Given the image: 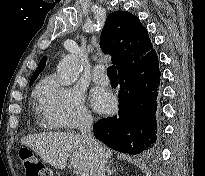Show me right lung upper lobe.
Returning a JSON list of instances; mask_svg holds the SVG:
<instances>
[{"instance_id":"right-lung-upper-lobe-1","label":"right lung upper lobe","mask_w":205,"mask_h":176,"mask_svg":"<svg viewBox=\"0 0 205 176\" xmlns=\"http://www.w3.org/2000/svg\"><path fill=\"white\" fill-rule=\"evenodd\" d=\"M100 44L107 54L113 56L112 63L116 64L119 72L154 51L147 30L136 16L127 11H116L107 16ZM45 61L46 57H43L31 77L30 85L43 71Z\"/></svg>"}]
</instances>
